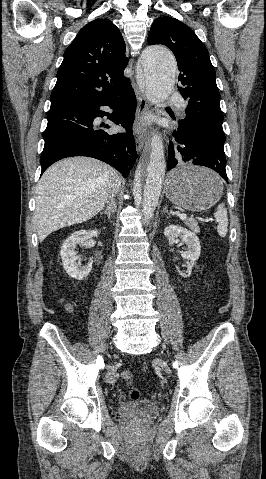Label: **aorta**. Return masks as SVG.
Returning a JSON list of instances; mask_svg holds the SVG:
<instances>
[{
    "instance_id": "1",
    "label": "aorta",
    "mask_w": 266,
    "mask_h": 479,
    "mask_svg": "<svg viewBox=\"0 0 266 479\" xmlns=\"http://www.w3.org/2000/svg\"><path fill=\"white\" fill-rule=\"evenodd\" d=\"M141 81L147 98L159 104L168 98L175 83L176 62L172 53L162 46H150L142 53ZM166 162L161 138L155 134L151 143L149 161L136 176L135 191L140 194L145 221L157 208L165 175Z\"/></svg>"
}]
</instances>
